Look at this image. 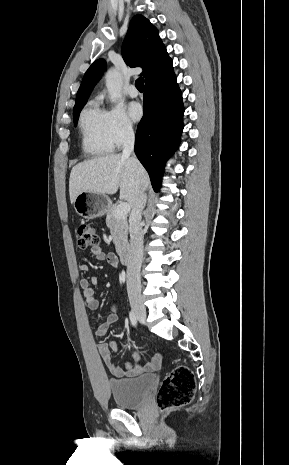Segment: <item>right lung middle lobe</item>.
I'll use <instances>...</instances> for the list:
<instances>
[{
	"mask_svg": "<svg viewBox=\"0 0 289 465\" xmlns=\"http://www.w3.org/2000/svg\"><path fill=\"white\" fill-rule=\"evenodd\" d=\"M86 101L87 100H83V101H79V102L75 103V106L73 108V119H74L75 125L77 123L79 113H80L81 109L83 108V106L86 104Z\"/></svg>",
	"mask_w": 289,
	"mask_h": 465,
	"instance_id": "right-lung-middle-lobe-1",
	"label": "right lung middle lobe"
}]
</instances>
